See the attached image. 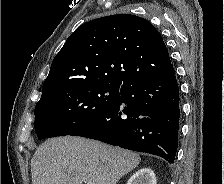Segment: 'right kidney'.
<instances>
[{
	"mask_svg": "<svg viewBox=\"0 0 224 184\" xmlns=\"http://www.w3.org/2000/svg\"><path fill=\"white\" fill-rule=\"evenodd\" d=\"M127 184H156L155 173L150 168H142L130 177Z\"/></svg>",
	"mask_w": 224,
	"mask_h": 184,
	"instance_id": "ca27d5eb",
	"label": "right kidney"
}]
</instances>
